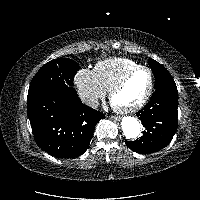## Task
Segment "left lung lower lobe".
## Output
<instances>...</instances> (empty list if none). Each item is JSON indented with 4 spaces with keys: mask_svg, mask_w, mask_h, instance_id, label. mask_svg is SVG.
<instances>
[{
    "mask_svg": "<svg viewBox=\"0 0 200 200\" xmlns=\"http://www.w3.org/2000/svg\"><path fill=\"white\" fill-rule=\"evenodd\" d=\"M177 111V87H159L145 107L136 113L146 129L143 136L126 142V145L140 154L153 153L166 147L178 127Z\"/></svg>",
    "mask_w": 200,
    "mask_h": 200,
    "instance_id": "left-lung-lower-lobe-1",
    "label": "left lung lower lobe"
}]
</instances>
